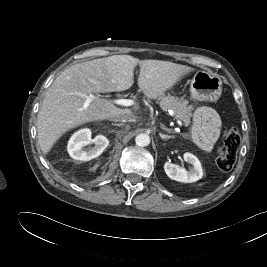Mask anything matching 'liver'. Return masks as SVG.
Here are the masks:
<instances>
[{
	"instance_id": "1",
	"label": "liver",
	"mask_w": 267,
	"mask_h": 267,
	"mask_svg": "<svg viewBox=\"0 0 267 267\" xmlns=\"http://www.w3.org/2000/svg\"><path fill=\"white\" fill-rule=\"evenodd\" d=\"M139 66L138 85L144 95L155 99L172 88L192 68L161 60H139L130 55H114L79 63L63 71L47 90L37 117L38 142L48 153L55 142L82 124L131 113L105 99L88 98L99 92H120L134 83ZM135 109H138L135 106Z\"/></svg>"
}]
</instances>
